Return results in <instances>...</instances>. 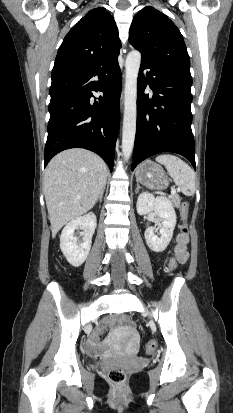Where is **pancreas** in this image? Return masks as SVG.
I'll return each mask as SVG.
<instances>
[{"label": "pancreas", "mask_w": 233, "mask_h": 413, "mask_svg": "<svg viewBox=\"0 0 233 413\" xmlns=\"http://www.w3.org/2000/svg\"><path fill=\"white\" fill-rule=\"evenodd\" d=\"M171 199L175 207L180 206L181 198L178 195H174Z\"/></svg>", "instance_id": "1"}]
</instances>
